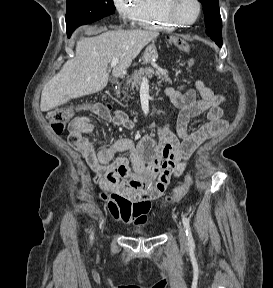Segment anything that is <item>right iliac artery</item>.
I'll return each instance as SVG.
<instances>
[{"label": "right iliac artery", "instance_id": "1", "mask_svg": "<svg viewBox=\"0 0 273 288\" xmlns=\"http://www.w3.org/2000/svg\"><path fill=\"white\" fill-rule=\"evenodd\" d=\"M90 239L93 240V233L91 234Z\"/></svg>", "mask_w": 273, "mask_h": 288}]
</instances>
